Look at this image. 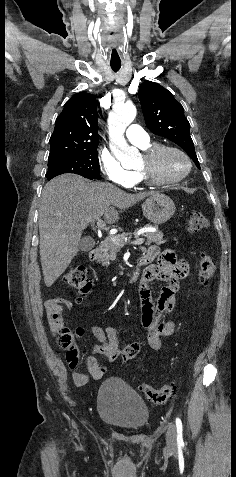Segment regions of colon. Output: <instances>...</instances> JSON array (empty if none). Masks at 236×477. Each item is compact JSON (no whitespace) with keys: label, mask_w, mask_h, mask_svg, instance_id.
I'll return each mask as SVG.
<instances>
[{"label":"colon","mask_w":236,"mask_h":477,"mask_svg":"<svg viewBox=\"0 0 236 477\" xmlns=\"http://www.w3.org/2000/svg\"><path fill=\"white\" fill-rule=\"evenodd\" d=\"M209 225L208 218L197 211L188 213L187 229L190 233H198L207 229ZM180 274H186V268L182 263L177 265ZM214 262L208 255H202L199 262V276L203 286L209 284L210 279L214 273ZM65 283L81 298L86 296L91 290L92 282L87 274L86 268L82 265H73L65 275ZM61 328L58 333V341L62 347L67 350L66 360L71 368H75L80 362V348L77 343V333H74L65 326V322L61 320ZM140 349L139 344L132 343L125 346L121 352V360L128 362L133 360ZM141 392L153 403L163 404L171 400L176 393V385L174 383H167L161 388H155L149 384L140 386Z\"/></svg>","instance_id":"obj_1"}]
</instances>
